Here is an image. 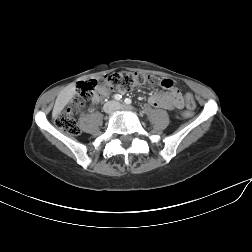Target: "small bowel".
Segmentation results:
<instances>
[{
  "mask_svg": "<svg viewBox=\"0 0 252 252\" xmlns=\"http://www.w3.org/2000/svg\"><path fill=\"white\" fill-rule=\"evenodd\" d=\"M169 81L172 83L170 88H165L163 82ZM160 85L166 89V92L163 93H154L148 98V103L154 108H161L167 110L181 109L184 106V100L181 96L179 90L175 87L174 82L171 79H163L160 82ZM110 91H101L99 95L95 98L94 103H99L102 99L108 96ZM186 96H190L191 94H187Z\"/></svg>",
  "mask_w": 252,
  "mask_h": 252,
  "instance_id": "1",
  "label": "small bowel"
}]
</instances>
